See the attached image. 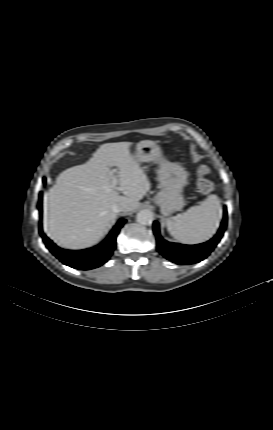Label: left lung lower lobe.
Listing matches in <instances>:
<instances>
[{"label": "left lung lower lobe", "mask_w": 273, "mask_h": 430, "mask_svg": "<svg viewBox=\"0 0 273 430\" xmlns=\"http://www.w3.org/2000/svg\"><path fill=\"white\" fill-rule=\"evenodd\" d=\"M227 225V209L224 207L223 221L218 233L210 241L197 245H183L179 243H171L164 240L160 236L159 225L157 222L153 224V231L157 240V250L168 260L184 265L193 264L205 259L216 247L217 243L223 236Z\"/></svg>", "instance_id": "1"}]
</instances>
